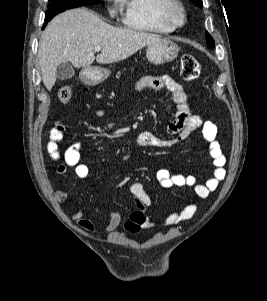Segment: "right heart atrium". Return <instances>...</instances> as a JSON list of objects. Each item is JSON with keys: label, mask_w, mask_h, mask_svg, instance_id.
Listing matches in <instances>:
<instances>
[{"label": "right heart atrium", "mask_w": 267, "mask_h": 301, "mask_svg": "<svg viewBox=\"0 0 267 301\" xmlns=\"http://www.w3.org/2000/svg\"><path fill=\"white\" fill-rule=\"evenodd\" d=\"M105 1H111V0H105ZM118 1V0H117ZM111 13L112 15H115L116 14V11L114 9H111Z\"/></svg>", "instance_id": "1"}]
</instances>
